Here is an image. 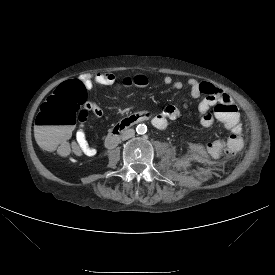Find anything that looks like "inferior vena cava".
I'll return each mask as SVG.
<instances>
[{
  "mask_svg": "<svg viewBox=\"0 0 275 275\" xmlns=\"http://www.w3.org/2000/svg\"><path fill=\"white\" fill-rule=\"evenodd\" d=\"M135 135L134 129H127L122 133V140H127Z\"/></svg>",
  "mask_w": 275,
  "mask_h": 275,
  "instance_id": "602c4592",
  "label": "inferior vena cava"
}]
</instances>
